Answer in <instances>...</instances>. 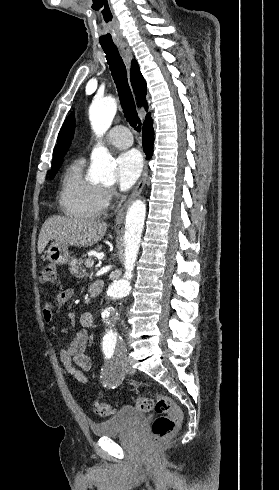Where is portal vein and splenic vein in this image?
<instances>
[{"label": "portal vein and splenic vein", "mask_w": 279, "mask_h": 490, "mask_svg": "<svg viewBox=\"0 0 279 490\" xmlns=\"http://www.w3.org/2000/svg\"><path fill=\"white\" fill-rule=\"evenodd\" d=\"M85 266L86 268H92V266H94V262H92V260H87V262H85Z\"/></svg>", "instance_id": "portal-vein-and-splenic-vein-1"}]
</instances>
